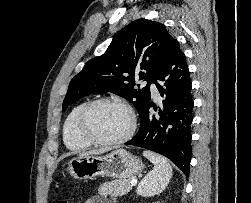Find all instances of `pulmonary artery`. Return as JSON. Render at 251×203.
<instances>
[{"instance_id":"1","label":"pulmonary artery","mask_w":251,"mask_h":203,"mask_svg":"<svg viewBox=\"0 0 251 203\" xmlns=\"http://www.w3.org/2000/svg\"><path fill=\"white\" fill-rule=\"evenodd\" d=\"M146 83V82H145ZM150 89H151V92L154 96H158V91H157V88L154 84H151L150 85Z\"/></svg>"}]
</instances>
